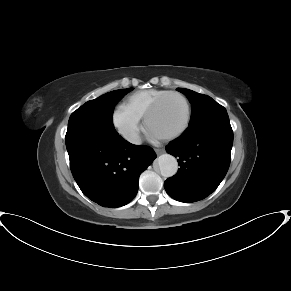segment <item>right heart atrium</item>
Masks as SVG:
<instances>
[{"label":"right heart atrium","mask_w":291,"mask_h":291,"mask_svg":"<svg viewBox=\"0 0 291 291\" xmlns=\"http://www.w3.org/2000/svg\"><path fill=\"white\" fill-rule=\"evenodd\" d=\"M141 118L126 105H118L112 115V123L118 133L127 141L135 142L141 130Z\"/></svg>","instance_id":"right-heart-atrium-1"}]
</instances>
